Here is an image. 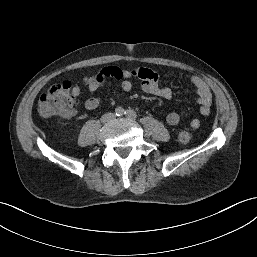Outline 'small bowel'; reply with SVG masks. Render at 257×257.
<instances>
[{
	"instance_id": "c3829d8e",
	"label": "small bowel",
	"mask_w": 257,
	"mask_h": 257,
	"mask_svg": "<svg viewBox=\"0 0 257 257\" xmlns=\"http://www.w3.org/2000/svg\"><path fill=\"white\" fill-rule=\"evenodd\" d=\"M168 75L183 77L186 81L191 83L196 90L195 102L200 105V112L202 115L207 116L210 114L212 105V93L208 84L200 77L195 75H188L178 71H170ZM106 78H114L119 81L120 87L123 91L128 92L132 89V79H139L140 86L144 93L160 97L162 99H170L172 97V90L168 86L160 84L159 75L154 70L147 67H133V68H120L117 66H106L98 73L89 75L83 78L80 86H75L73 92L75 96H81L84 93H96L104 85ZM101 104V97L94 96L88 98L84 102V107L87 110H94ZM186 109L180 112L172 111L166 116V122L170 126L178 125L184 118ZM77 114L76 110H72L67 117ZM191 127L198 128L200 121L192 119L190 122Z\"/></svg>"
}]
</instances>
